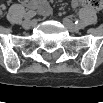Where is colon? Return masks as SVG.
Wrapping results in <instances>:
<instances>
[{"instance_id":"5ec220e1","label":"colon","mask_w":103,"mask_h":103,"mask_svg":"<svg viewBox=\"0 0 103 103\" xmlns=\"http://www.w3.org/2000/svg\"><path fill=\"white\" fill-rule=\"evenodd\" d=\"M83 4L97 11H101L103 7V3L101 0H87V1H84ZM2 11H3V7H0V12Z\"/></svg>"}]
</instances>
